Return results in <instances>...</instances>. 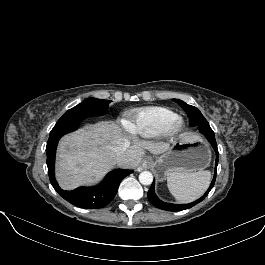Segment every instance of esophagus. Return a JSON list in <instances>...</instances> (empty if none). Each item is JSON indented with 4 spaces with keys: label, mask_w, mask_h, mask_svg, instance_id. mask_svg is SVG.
Segmentation results:
<instances>
[{
    "label": "esophagus",
    "mask_w": 265,
    "mask_h": 265,
    "mask_svg": "<svg viewBox=\"0 0 265 265\" xmlns=\"http://www.w3.org/2000/svg\"><path fill=\"white\" fill-rule=\"evenodd\" d=\"M152 164V161L150 159H145L142 163L143 168H148Z\"/></svg>",
    "instance_id": "obj_1"
}]
</instances>
